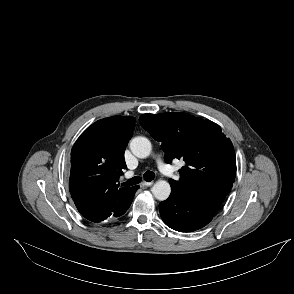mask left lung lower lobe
Listing matches in <instances>:
<instances>
[{"instance_id": "1", "label": "left lung lower lobe", "mask_w": 294, "mask_h": 294, "mask_svg": "<svg viewBox=\"0 0 294 294\" xmlns=\"http://www.w3.org/2000/svg\"><path fill=\"white\" fill-rule=\"evenodd\" d=\"M225 197L189 195L172 189L171 196L159 204L163 222L180 232H191L207 225Z\"/></svg>"}]
</instances>
